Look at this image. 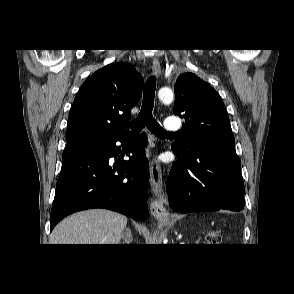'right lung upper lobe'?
<instances>
[{
	"mask_svg": "<svg viewBox=\"0 0 294 294\" xmlns=\"http://www.w3.org/2000/svg\"><path fill=\"white\" fill-rule=\"evenodd\" d=\"M142 87V76L129 63H112L96 71L82 84L72 104L68 144L128 132L130 110L139 102Z\"/></svg>",
	"mask_w": 294,
	"mask_h": 294,
	"instance_id": "1",
	"label": "right lung upper lobe"
}]
</instances>
